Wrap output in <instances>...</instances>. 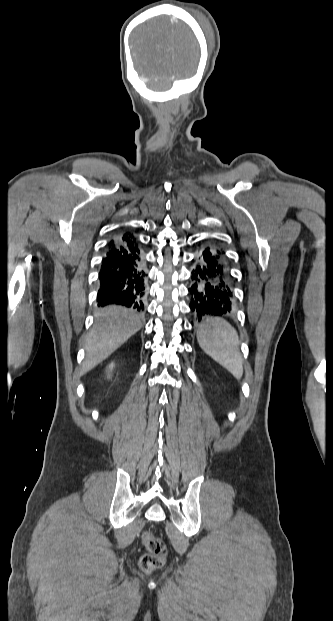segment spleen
<instances>
[{
    "mask_svg": "<svg viewBox=\"0 0 333 621\" xmlns=\"http://www.w3.org/2000/svg\"><path fill=\"white\" fill-rule=\"evenodd\" d=\"M201 349L235 378L243 375V360L237 331L222 318H209L197 330Z\"/></svg>",
    "mask_w": 333,
    "mask_h": 621,
    "instance_id": "3e777b00",
    "label": "spleen"
}]
</instances>
